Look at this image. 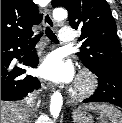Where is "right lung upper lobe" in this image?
I'll list each match as a JSON object with an SVG mask.
<instances>
[{"label": "right lung upper lobe", "instance_id": "cb5924a9", "mask_svg": "<svg viewBox=\"0 0 122 123\" xmlns=\"http://www.w3.org/2000/svg\"><path fill=\"white\" fill-rule=\"evenodd\" d=\"M37 9L31 0H1V42L28 41L42 20Z\"/></svg>", "mask_w": 122, "mask_h": 123}]
</instances>
